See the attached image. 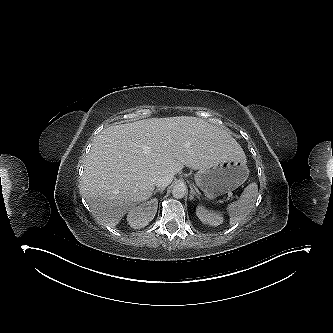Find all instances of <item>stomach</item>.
I'll return each instance as SVG.
<instances>
[{"label": "stomach", "mask_w": 333, "mask_h": 333, "mask_svg": "<svg viewBox=\"0 0 333 333\" xmlns=\"http://www.w3.org/2000/svg\"><path fill=\"white\" fill-rule=\"evenodd\" d=\"M248 176L246 159H233L200 169L194 179L201 190L211 195H221L238 188Z\"/></svg>", "instance_id": "obj_1"}]
</instances>
